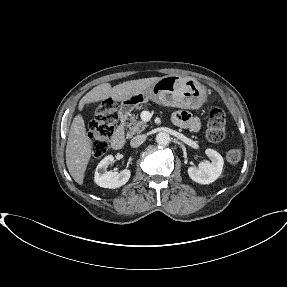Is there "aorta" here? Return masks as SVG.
I'll use <instances>...</instances> for the list:
<instances>
[{"label": "aorta", "instance_id": "762f6f07", "mask_svg": "<svg viewBox=\"0 0 287 287\" xmlns=\"http://www.w3.org/2000/svg\"><path fill=\"white\" fill-rule=\"evenodd\" d=\"M156 142L159 144V145H163V146H166L168 145L170 142H171V137L168 133L166 132H159L157 135H156Z\"/></svg>", "mask_w": 287, "mask_h": 287}]
</instances>
